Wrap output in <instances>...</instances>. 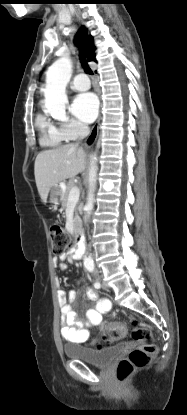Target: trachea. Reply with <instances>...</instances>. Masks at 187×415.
I'll list each match as a JSON object with an SVG mask.
<instances>
[{
	"mask_svg": "<svg viewBox=\"0 0 187 415\" xmlns=\"http://www.w3.org/2000/svg\"><path fill=\"white\" fill-rule=\"evenodd\" d=\"M80 62H81L82 67H83V69L86 73L93 74V72H92L91 68L89 67L83 53H80Z\"/></svg>",
	"mask_w": 187,
	"mask_h": 415,
	"instance_id": "3493384b",
	"label": "trachea"
}]
</instances>
